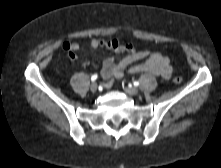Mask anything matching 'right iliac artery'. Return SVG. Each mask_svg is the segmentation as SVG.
Wrapping results in <instances>:
<instances>
[{"label": "right iliac artery", "mask_w": 221, "mask_h": 168, "mask_svg": "<svg viewBox=\"0 0 221 168\" xmlns=\"http://www.w3.org/2000/svg\"><path fill=\"white\" fill-rule=\"evenodd\" d=\"M97 77H98L97 74H94V75L91 77V81L94 82V81L97 79Z\"/></svg>", "instance_id": "right-iliac-artery-1"}]
</instances>
